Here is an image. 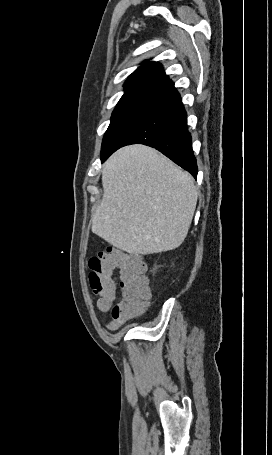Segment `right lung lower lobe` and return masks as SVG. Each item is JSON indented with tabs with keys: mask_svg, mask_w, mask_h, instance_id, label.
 <instances>
[{
	"mask_svg": "<svg viewBox=\"0 0 272 455\" xmlns=\"http://www.w3.org/2000/svg\"><path fill=\"white\" fill-rule=\"evenodd\" d=\"M136 143L156 148L197 178L187 113L180 97L131 128L101 157V161L104 162L120 147Z\"/></svg>",
	"mask_w": 272,
	"mask_h": 455,
	"instance_id": "1",
	"label": "right lung lower lobe"
}]
</instances>
